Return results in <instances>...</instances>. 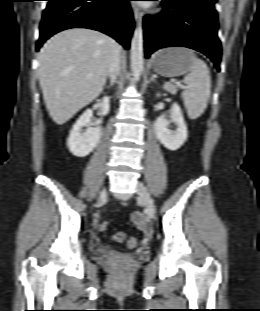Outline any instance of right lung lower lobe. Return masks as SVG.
Here are the masks:
<instances>
[{
    "mask_svg": "<svg viewBox=\"0 0 260 311\" xmlns=\"http://www.w3.org/2000/svg\"><path fill=\"white\" fill-rule=\"evenodd\" d=\"M36 51L52 35L69 28H89L129 48L134 20L130 0H47Z\"/></svg>",
    "mask_w": 260,
    "mask_h": 311,
    "instance_id": "right-lung-lower-lobe-1",
    "label": "right lung lower lobe"
}]
</instances>
